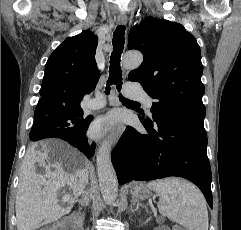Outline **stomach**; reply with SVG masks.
Returning a JSON list of instances; mask_svg holds the SVG:
<instances>
[{"mask_svg":"<svg viewBox=\"0 0 241 230\" xmlns=\"http://www.w3.org/2000/svg\"><path fill=\"white\" fill-rule=\"evenodd\" d=\"M131 194L134 198L144 200L150 197V190L144 185H136L131 189Z\"/></svg>","mask_w":241,"mask_h":230,"instance_id":"stomach-1","label":"stomach"}]
</instances>
